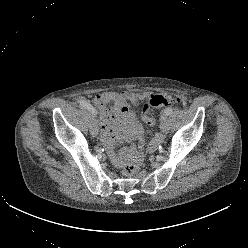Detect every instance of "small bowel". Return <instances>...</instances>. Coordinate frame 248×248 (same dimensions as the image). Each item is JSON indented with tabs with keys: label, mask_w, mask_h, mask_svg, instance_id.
Returning <instances> with one entry per match:
<instances>
[{
	"label": "small bowel",
	"mask_w": 248,
	"mask_h": 248,
	"mask_svg": "<svg viewBox=\"0 0 248 248\" xmlns=\"http://www.w3.org/2000/svg\"><path fill=\"white\" fill-rule=\"evenodd\" d=\"M150 96L135 92H102L93 98V104L100 113L102 140L107 147L108 155L116 166L124 161V156L116 153L115 142L122 139L135 138L139 140L138 149H143L142 128L130 104L136 105ZM157 139L151 145L154 148ZM136 148H131L135 151Z\"/></svg>",
	"instance_id": "obj_1"
}]
</instances>
